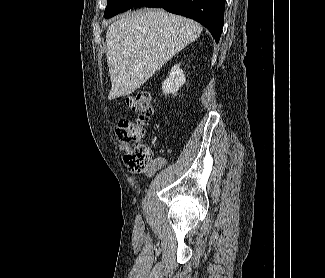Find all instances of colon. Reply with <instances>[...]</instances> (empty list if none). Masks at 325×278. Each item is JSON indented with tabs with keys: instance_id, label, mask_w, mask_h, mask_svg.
<instances>
[{
	"instance_id": "5ec220e1",
	"label": "colon",
	"mask_w": 325,
	"mask_h": 278,
	"mask_svg": "<svg viewBox=\"0 0 325 278\" xmlns=\"http://www.w3.org/2000/svg\"><path fill=\"white\" fill-rule=\"evenodd\" d=\"M126 105L138 114L134 119L120 120L115 126V133L124 152L125 166L131 171L145 168L151 158V148L143 142L146 121L153 114L150 95L137 92L126 97Z\"/></svg>"
}]
</instances>
